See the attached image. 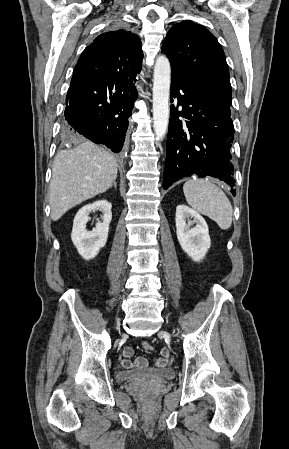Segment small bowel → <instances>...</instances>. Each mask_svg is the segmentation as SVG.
<instances>
[{
	"label": "small bowel",
	"mask_w": 289,
	"mask_h": 449,
	"mask_svg": "<svg viewBox=\"0 0 289 449\" xmlns=\"http://www.w3.org/2000/svg\"><path fill=\"white\" fill-rule=\"evenodd\" d=\"M160 351H161V354H160L161 356H160V358H158L155 361V365L157 367H165L166 364L168 363V361H170V359H171V356H170L171 352L165 346L162 347ZM122 354H123V359L121 360V366L124 369H132V368L145 369L149 365L148 360L144 357H138L135 360H131V357L134 354V350L132 347H129V346L125 347L123 349Z\"/></svg>",
	"instance_id": "1"
}]
</instances>
